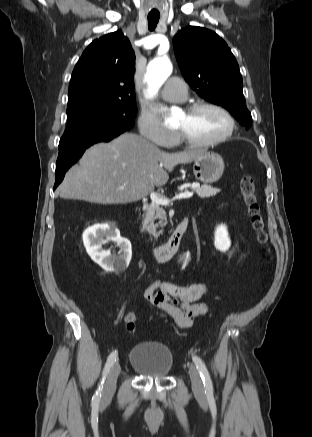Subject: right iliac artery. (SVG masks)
Returning <instances> with one entry per match:
<instances>
[{
	"label": "right iliac artery",
	"mask_w": 312,
	"mask_h": 437,
	"mask_svg": "<svg viewBox=\"0 0 312 437\" xmlns=\"http://www.w3.org/2000/svg\"><path fill=\"white\" fill-rule=\"evenodd\" d=\"M117 355H118L117 351H113V352L108 356L107 362H106L105 367H104V370H103L102 379H101V382H100V384H99V388H98V390L95 392L94 396L92 397V403H93V404L98 405L99 402H100V399H101V390H102V388H103V384H104L105 378H106L107 374L109 373L110 368H111V367L113 366V364L116 362Z\"/></svg>",
	"instance_id": "1"
}]
</instances>
